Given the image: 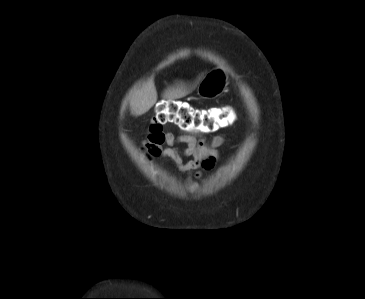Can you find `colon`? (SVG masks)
Instances as JSON below:
<instances>
[{"label":"colon","mask_w":365,"mask_h":299,"mask_svg":"<svg viewBox=\"0 0 365 299\" xmlns=\"http://www.w3.org/2000/svg\"><path fill=\"white\" fill-rule=\"evenodd\" d=\"M230 123L229 113L224 108L199 109L178 100H163L155 109L147 127V140L144 144L149 157L161 152L165 143L164 126L176 125L184 130L211 133Z\"/></svg>","instance_id":"obj_1"}]
</instances>
